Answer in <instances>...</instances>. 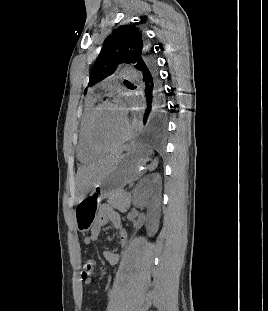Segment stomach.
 <instances>
[{
	"label": "stomach",
	"mask_w": 268,
	"mask_h": 311,
	"mask_svg": "<svg viewBox=\"0 0 268 311\" xmlns=\"http://www.w3.org/2000/svg\"><path fill=\"white\" fill-rule=\"evenodd\" d=\"M148 155V150L129 146L117 157L106 176L77 204L74 217L78 231L85 233L91 229L103 199L121 191L127 184L140 178L141 168L147 162Z\"/></svg>",
	"instance_id": "0dacf381"
}]
</instances>
